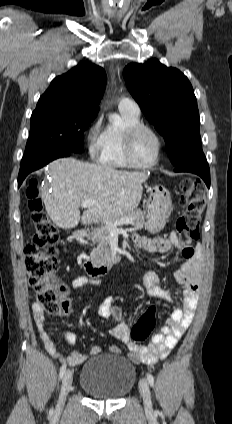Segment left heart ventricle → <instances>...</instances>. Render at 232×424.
Wrapping results in <instances>:
<instances>
[{
    "mask_svg": "<svg viewBox=\"0 0 232 424\" xmlns=\"http://www.w3.org/2000/svg\"><path fill=\"white\" fill-rule=\"evenodd\" d=\"M157 152V141L148 131H142L138 134L133 145V157L139 164L151 163Z\"/></svg>",
    "mask_w": 232,
    "mask_h": 424,
    "instance_id": "1",
    "label": "left heart ventricle"
}]
</instances>
